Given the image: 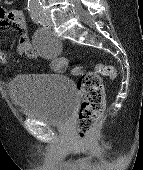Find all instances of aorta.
<instances>
[{
	"instance_id": "762f6f07",
	"label": "aorta",
	"mask_w": 143,
	"mask_h": 170,
	"mask_svg": "<svg viewBox=\"0 0 143 170\" xmlns=\"http://www.w3.org/2000/svg\"><path fill=\"white\" fill-rule=\"evenodd\" d=\"M27 7L32 18H43L45 16L41 0H28Z\"/></svg>"
}]
</instances>
